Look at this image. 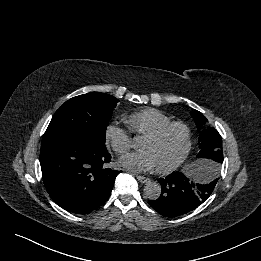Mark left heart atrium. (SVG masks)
<instances>
[{
  "mask_svg": "<svg viewBox=\"0 0 261 261\" xmlns=\"http://www.w3.org/2000/svg\"><path fill=\"white\" fill-rule=\"evenodd\" d=\"M119 164L134 172H143L156 167L154 158L147 151L129 153L120 158Z\"/></svg>",
  "mask_w": 261,
  "mask_h": 261,
  "instance_id": "left-heart-atrium-1",
  "label": "left heart atrium"
}]
</instances>
